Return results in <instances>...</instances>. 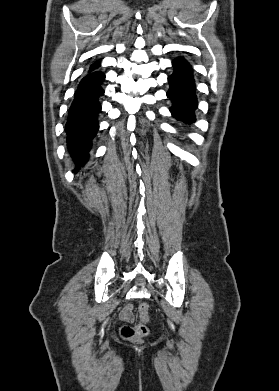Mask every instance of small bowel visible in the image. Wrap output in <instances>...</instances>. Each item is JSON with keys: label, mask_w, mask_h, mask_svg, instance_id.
Returning a JSON list of instances; mask_svg holds the SVG:
<instances>
[{"label": "small bowel", "mask_w": 279, "mask_h": 391, "mask_svg": "<svg viewBox=\"0 0 279 391\" xmlns=\"http://www.w3.org/2000/svg\"><path fill=\"white\" fill-rule=\"evenodd\" d=\"M120 319L126 322L134 321V314L132 311V307L130 305L125 306L123 310L120 312Z\"/></svg>", "instance_id": "small-bowel-1"}]
</instances>
